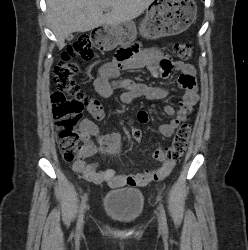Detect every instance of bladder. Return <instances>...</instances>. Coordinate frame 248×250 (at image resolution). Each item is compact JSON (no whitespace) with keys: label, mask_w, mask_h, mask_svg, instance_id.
<instances>
[{"label":"bladder","mask_w":248,"mask_h":250,"mask_svg":"<svg viewBox=\"0 0 248 250\" xmlns=\"http://www.w3.org/2000/svg\"><path fill=\"white\" fill-rule=\"evenodd\" d=\"M103 211L122 224L135 222L143 213V192L137 188H120L108 191L103 197Z\"/></svg>","instance_id":"obj_1"}]
</instances>
